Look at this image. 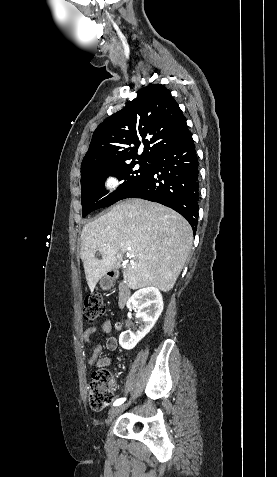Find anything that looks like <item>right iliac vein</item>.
Masks as SVG:
<instances>
[{"label":"right iliac vein","mask_w":277,"mask_h":477,"mask_svg":"<svg viewBox=\"0 0 277 477\" xmlns=\"http://www.w3.org/2000/svg\"><path fill=\"white\" fill-rule=\"evenodd\" d=\"M125 406H117L112 408L108 413L107 421L110 422L114 417L120 414L124 410Z\"/></svg>","instance_id":"63e3f726"}]
</instances>
